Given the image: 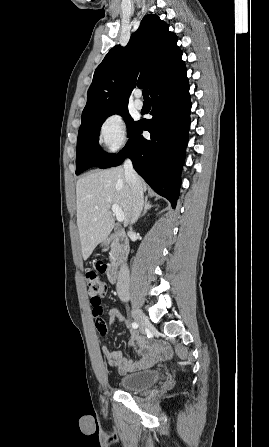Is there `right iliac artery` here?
<instances>
[{
	"label": "right iliac artery",
	"mask_w": 269,
	"mask_h": 447,
	"mask_svg": "<svg viewBox=\"0 0 269 447\" xmlns=\"http://www.w3.org/2000/svg\"><path fill=\"white\" fill-rule=\"evenodd\" d=\"M132 327H133V328H137V327H138V324H137L136 322H134V323H132Z\"/></svg>",
	"instance_id": "82829eb1"
}]
</instances>
